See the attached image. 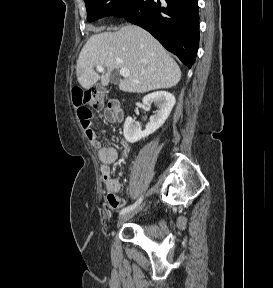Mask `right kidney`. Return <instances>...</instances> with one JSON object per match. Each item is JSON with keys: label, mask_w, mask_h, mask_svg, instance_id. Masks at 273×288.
<instances>
[{"label": "right kidney", "mask_w": 273, "mask_h": 288, "mask_svg": "<svg viewBox=\"0 0 273 288\" xmlns=\"http://www.w3.org/2000/svg\"><path fill=\"white\" fill-rule=\"evenodd\" d=\"M142 102L146 108H148L151 103H154L158 110L150 117V121L144 130H141L140 125L135 123L132 117L126 118L124 123V137L129 143H135L159 129L169 117L176 100L171 93L158 91L146 95Z\"/></svg>", "instance_id": "1"}]
</instances>
